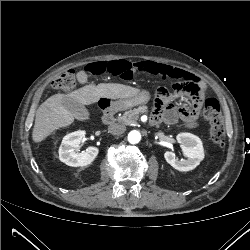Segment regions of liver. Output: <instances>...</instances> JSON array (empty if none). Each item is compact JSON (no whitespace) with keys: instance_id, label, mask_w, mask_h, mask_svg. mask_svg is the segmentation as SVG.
<instances>
[{"instance_id":"1","label":"liver","mask_w":250,"mask_h":250,"mask_svg":"<svg viewBox=\"0 0 250 250\" xmlns=\"http://www.w3.org/2000/svg\"><path fill=\"white\" fill-rule=\"evenodd\" d=\"M138 88L118 84L100 83L86 85L68 94H55L43 102L36 111L32 139L38 143L46 139L59 128L67 127L74 122V116L63 106L64 98H71L82 105H91L100 98L122 99L139 93Z\"/></svg>"}]
</instances>
